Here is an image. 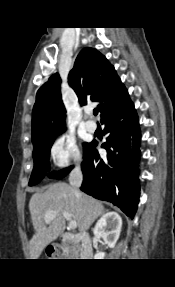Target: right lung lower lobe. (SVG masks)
Listing matches in <instances>:
<instances>
[{"label":"right lung lower lobe","instance_id":"1","mask_svg":"<svg viewBox=\"0 0 175 287\" xmlns=\"http://www.w3.org/2000/svg\"><path fill=\"white\" fill-rule=\"evenodd\" d=\"M108 134L102 145L107 157L102 159L91 142L82 162L81 190L106 200L133 218L139 202L140 128L134 104L129 99L101 118Z\"/></svg>","mask_w":175,"mask_h":287}]
</instances>
